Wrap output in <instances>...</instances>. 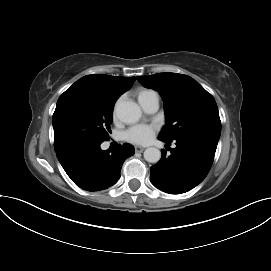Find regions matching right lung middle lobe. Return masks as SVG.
Segmentation results:
<instances>
[{
	"label": "right lung middle lobe",
	"instance_id": "1",
	"mask_svg": "<svg viewBox=\"0 0 271 271\" xmlns=\"http://www.w3.org/2000/svg\"><path fill=\"white\" fill-rule=\"evenodd\" d=\"M114 101L99 100L83 91L63 93L53 114L54 148L65 153L102 143L111 133Z\"/></svg>",
	"mask_w": 271,
	"mask_h": 271
}]
</instances>
